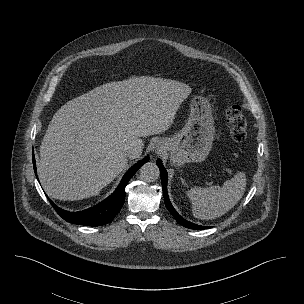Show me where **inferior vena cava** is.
<instances>
[{"label": "inferior vena cava", "mask_w": 304, "mask_h": 304, "mask_svg": "<svg viewBox=\"0 0 304 304\" xmlns=\"http://www.w3.org/2000/svg\"><path fill=\"white\" fill-rule=\"evenodd\" d=\"M139 153H140V149L138 147L129 146L126 150V155L129 158H134L137 155H139Z\"/></svg>", "instance_id": "inferior-vena-cava-1"}]
</instances>
